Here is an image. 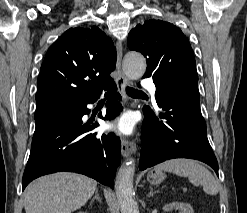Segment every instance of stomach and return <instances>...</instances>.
Listing matches in <instances>:
<instances>
[{
	"instance_id": "1",
	"label": "stomach",
	"mask_w": 247,
	"mask_h": 213,
	"mask_svg": "<svg viewBox=\"0 0 247 213\" xmlns=\"http://www.w3.org/2000/svg\"><path fill=\"white\" fill-rule=\"evenodd\" d=\"M165 178L161 171H150L147 175V180L152 185L160 184Z\"/></svg>"
}]
</instances>
